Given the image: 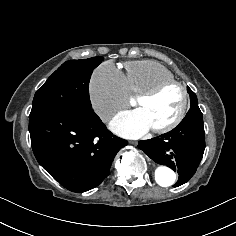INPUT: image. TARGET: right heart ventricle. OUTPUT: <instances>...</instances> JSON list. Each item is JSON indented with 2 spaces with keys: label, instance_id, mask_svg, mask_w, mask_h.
I'll return each instance as SVG.
<instances>
[{
  "label": "right heart ventricle",
  "instance_id": "1",
  "mask_svg": "<svg viewBox=\"0 0 236 236\" xmlns=\"http://www.w3.org/2000/svg\"><path fill=\"white\" fill-rule=\"evenodd\" d=\"M125 82L128 91L140 95L156 84L175 80L173 72L157 61L137 60L124 63Z\"/></svg>",
  "mask_w": 236,
  "mask_h": 236
}]
</instances>
